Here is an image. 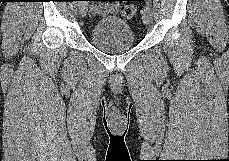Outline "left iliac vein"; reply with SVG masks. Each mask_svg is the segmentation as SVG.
<instances>
[{"label": "left iliac vein", "mask_w": 229, "mask_h": 161, "mask_svg": "<svg viewBox=\"0 0 229 161\" xmlns=\"http://www.w3.org/2000/svg\"><path fill=\"white\" fill-rule=\"evenodd\" d=\"M142 18L145 23V25L150 26L153 20V13L152 9L149 5H145L142 8Z\"/></svg>", "instance_id": "left-iliac-vein-1"}]
</instances>
